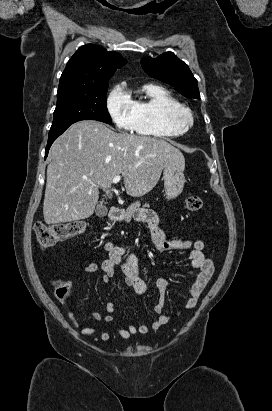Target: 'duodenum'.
Listing matches in <instances>:
<instances>
[{"instance_id":"duodenum-1","label":"duodenum","mask_w":272,"mask_h":411,"mask_svg":"<svg viewBox=\"0 0 272 411\" xmlns=\"http://www.w3.org/2000/svg\"><path fill=\"white\" fill-rule=\"evenodd\" d=\"M121 212L122 209L120 207L112 206L109 208L107 216L109 219L114 220L121 214Z\"/></svg>"}]
</instances>
